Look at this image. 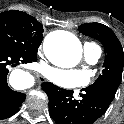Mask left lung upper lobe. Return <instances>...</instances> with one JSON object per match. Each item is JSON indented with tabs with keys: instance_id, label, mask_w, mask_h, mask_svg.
<instances>
[{
	"instance_id": "5c2ea615",
	"label": "left lung upper lobe",
	"mask_w": 124,
	"mask_h": 124,
	"mask_svg": "<svg viewBox=\"0 0 124 124\" xmlns=\"http://www.w3.org/2000/svg\"><path fill=\"white\" fill-rule=\"evenodd\" d=\"M78 30L86 36L99 40L105 50L102 75L90 87L107 91L112 97L121 83L124 65V52L115 33L100 23L82 24Z\"/></svg>"
}]
</instances>
